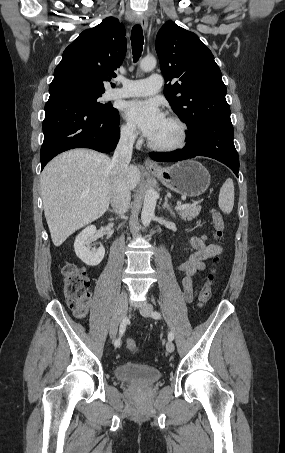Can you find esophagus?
I'll list each match as a JSON object with an SVG mask.
<instances>
[{"mask_svg":"<svg viewBox=\"0 0 285 453\" xmlns=\"http://www.w3.org/2000/svg\"><path fill=\"white\" fill-rule=\"evenodd\" d=\"M137 21L139 22V24L141 25L143 30L147 29L148 21H147V17L145 15L139 16L137 18ZM144 165L147 169H158V165L155 162H153L152 160H150L149 158L145 159Z\"/></svg>","mask_w":285,"mask_h":453,"instance_id":"obj_1","label":"esophagus"}]
</instances>
